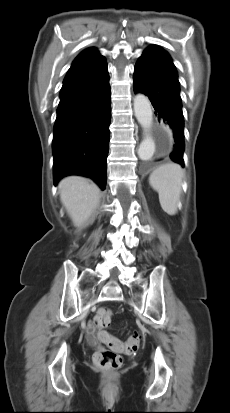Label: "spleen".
I'll list each match as a JSON object with an SVG mask.
<instances>
[{"instance_id":"spleen-1","label":"spleen","mask_w":230,"mask_h":413,"mask_svg":"<svg viewBox=\"0 0 230 413\" xmlns=\"http://www.w3.org/2000/svg\"><path fill=\"white\" fill-rule=\"evenodd\" d=\"M184 172L175 163L159 166L149 176V184L158 192L161 208L169 215H175L182 191Z\"/></svg>"}]
</instances>
